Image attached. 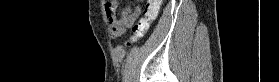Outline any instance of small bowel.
Listing matches in <instances>:
<instances>
[{
    "instance_id": "c3829d8e",
    "label": "small bowel",
    "mask_w": 279,
    "mask_h": 82,
    "mask_svg": "<svg viewBox=\"0 0 279 82\" xmlns=\"http://www.w3.org/2000/svg\"><path fill=\"white\" fill-rule=\"evenodd\" d=\"M118 2L111 1L106 3V14L111 25L112 32L115 35H121L126 28L133 26L140 14V7H126L118 16Z\"/></svg>"
}]
</instances>
